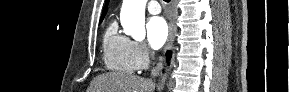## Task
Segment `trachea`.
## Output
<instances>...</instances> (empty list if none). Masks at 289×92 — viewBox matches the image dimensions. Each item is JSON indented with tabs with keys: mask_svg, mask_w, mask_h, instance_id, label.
<instances>
[{
	"mask_svg": "<svg viewBox=\"0 0 289 92\" xmlns=\"http://www.w3.org/2000/svg\"><path fill=\"white\" fill-rule=\"evenodd\" d=\"M165 2H169V0H164Z\"/></svg>",
	"mask_w": 289,
	"mask_h": 92,
	"instance_id": "obj_1",
	"label": "trachea"
}]
</instances>
